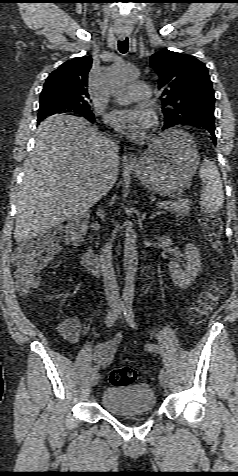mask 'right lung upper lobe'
<instances>
[{"label": "right lung upper lobe", "instance_id": "1", "mask_svg": "<svg viewBox=\"0 0 238 476\" xmlns=\"http://www.w3.org/2000/svg\"><path fill=\"white\" fill-rule=\"evenodd\" d=\"M92 58L83 56L66 61L47 78L40 102H56L63 106H89L88 72Z\"/></svg>", "mask_w": 238, "mask_h": 476}]
</instances>
